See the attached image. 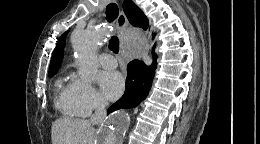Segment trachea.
I'll return each instance as SVG.
<instances>
[{
    "label": "trachea",
    "mask_w": 260,
    "mask_h": 144,
    "mask_svg": "<svg viewBox=\"0 0 260 144\" xmlns=\"http://www.w3.org/2000/svg\"><path fill=\"white\" fill-rule=\"evenodd\" d=\"M119 14L118 6L115 3H110L106 7V20L108 22H113ZM109 49L114 53L119 52V40L117 36H112L109 40Z\"/></svg>",
    "instance_id": "obj_1"
}]
</instances>
